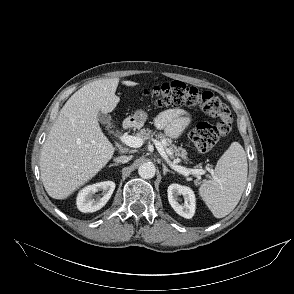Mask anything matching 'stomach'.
<instances>
[{"mask_svg":"<svg viewBox=\"0 0 294 294\" xmlns=\"http://www.w3.org/2000/svg\"><path fill=\"white\" fill-rule=\"evenodd\" d=\"M147 118H148L147 112L142 109L136 110L131 117L133 124L138 128L144 125Z\"/></svg>","mask_w":294,"mask_h":294,"instance_id":"1","label":"stomach"}]
</instances>
